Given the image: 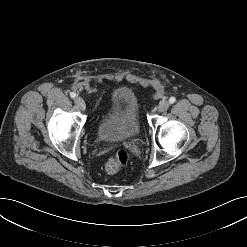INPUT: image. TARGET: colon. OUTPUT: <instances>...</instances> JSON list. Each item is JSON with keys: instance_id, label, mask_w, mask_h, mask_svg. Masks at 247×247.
<instances>
[{"instance_id": "obj_1", "label": "colon", "mask_w": 247, "mask_h": 247, "mask_svg": "<svg viewBox=\"0 0 247 247\" xmlns=\"http://www.w3.org/2000/svg\"><path fill=\"white\" fill-rule=\"evenodd\" d=\"M129 162V155L125 150H118L105 162V170L109 174H115L123 169Z\"/></svg>"}]
</instances>
